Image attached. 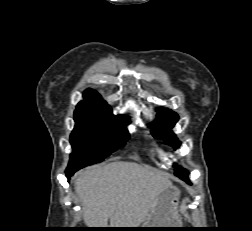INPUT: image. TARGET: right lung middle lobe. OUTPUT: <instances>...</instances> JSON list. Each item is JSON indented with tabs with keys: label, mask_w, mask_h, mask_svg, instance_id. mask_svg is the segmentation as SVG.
<instances>
[{
	"label": "right lung middle lobe",
	"mask_w": 252,
	"mask_h": 231,
	"mask_svg": "<svg viewBox=\"0 0 252 231\" xmlns=\"http://www.w3.org/2000/svg\"><path fill=\"white\" fill-rule=\"evenodd\" d=\"M75 127L70 136L73 152L67 169L103 161L129 138L126 118L109 114L74 113Z\"/></svg>",
	"instance_id": "dd1d6c3e"
}]
</instances>
